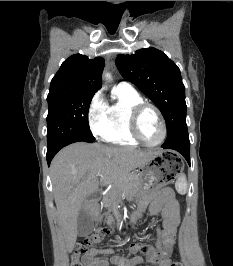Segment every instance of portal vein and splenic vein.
Returning a JSON list of instances; mask_svg holds the SVG:
<instances>
[{
  "mask_svg": "<svg viewBox=\"0 0 233 266\" xmlns=\"http://www.w3.org/2000/svg\"><path fill=\"white\" fill-rule=\"evenodd\" d=\"M97 177H101V174H100V173H98V174H97Z\"/></svg>",
  "mask_w": 233,
  "mask_h": 266,
  "instance_id": "1",
  "label": "portal vein and splenic vein"
}]
</instances>
